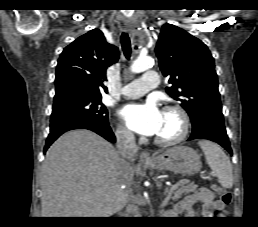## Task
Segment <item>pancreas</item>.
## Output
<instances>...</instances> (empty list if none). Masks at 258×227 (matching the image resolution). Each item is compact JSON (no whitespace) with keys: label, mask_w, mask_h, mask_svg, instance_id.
<instances>
[{"label":"pancreas","mask_w":258,"mask_h":227,"mask_svg":"<svg viewBox=\"0 0 258 227\" xmlns=\"http://www.w3.org/2000/svg\"><path fill=\"white\" fill-rule=\"evenodd\" d=\"M198 188V185L194 184V183H189V184H186V185H182L178 188H176L174 191H173V196H172V199L174 201H177L179 200L183 195L185 194H189L191 192H194L196 189Z\"/></svg>","instance_id":"obj_1"}]
</instances>
